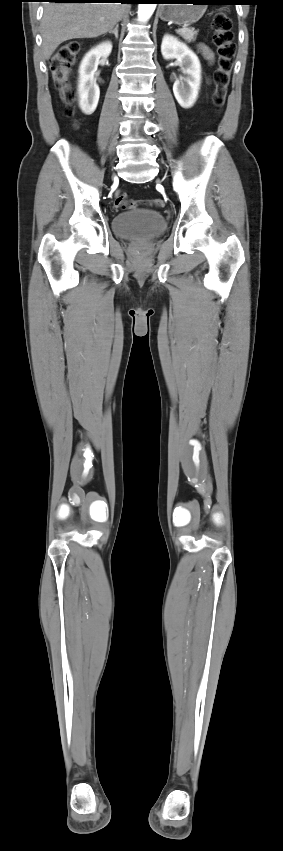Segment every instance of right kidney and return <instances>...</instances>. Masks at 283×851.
<instances>
[{
	"mask_svg": "<svg viewBox=\"0 0 283 851\" xmlns=\"http://www.w3.org/2000/svg\"><path fill=\"white\" fill-rule=\"evenodd\" d=\"M112 51L109 41L92 48L83 58L79 67L78 94L79 106L86 115H91L97 108L100 89L94 80L100 58H107Z\"/></svg>",
	"mask_w": 283,
	"mask_h": 851,
	"instance_id": "obj_1",
	"label": "right kidney"
}]
</instances>
